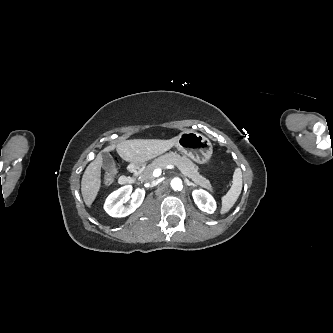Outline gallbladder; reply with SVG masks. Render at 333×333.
I'll list each match as a JSON object with an SVG mask.
<instances>
[{
    "label": "gallbladder",
    "instance_id": "1",
    "mask_svg": "<svg viewBox=\"0 0 333 333\" xmlns=\"http://www.w3.org/2000/svg\"><path fill=\"white\" fill-rule=\"evenodd\" d=\"M102 168L108 172H114L116 170V162L114 157L109 152H102Z\"/></svg>",
    "mask_w": 333,
    "mask_h": 333
}]
</instances>
